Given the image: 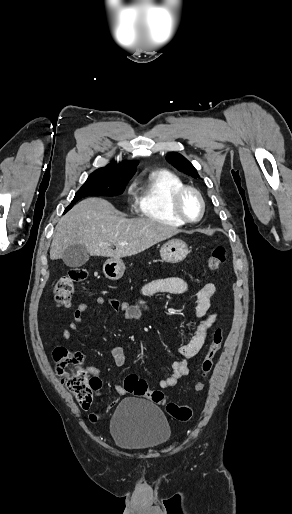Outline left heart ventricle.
<instances>
[{
  "label": "left heart ventricle",
  "instance_id": "left-heart-ventricle-1",
  "mask_svg": "<svg viewBox=\"0 0 292 514\" xmlns=\"http://www.w3.org/2000/svg\"><path fill=\"white\" fill-rule=\"evenodd\" d=\"M182 212L190 219H195L199 215V203L195 195L190 192L183 194L180 199Z\"/></svg>",
  "mask_w": 292,
  "mask_h": 514
}]
</instances>
